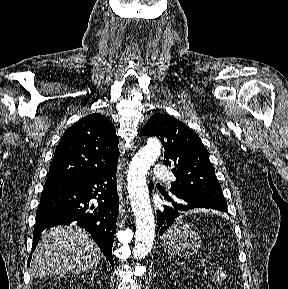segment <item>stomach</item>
<instances>
[{
	"label": "stomach",
	"instance_id": "0dacf381",
	"mask_svg": "<svg viewBox=\"0 0 288 289\" xmlns=\"http://www.w3.org/2000/svg\"><path fill=\"white\" fill-rule=\"evenodd\" d=\"M163 247L170 255L189 256L200 249L201 237L196 231L189 229L164 240Z\"/></svg>",
	"mask_w": 288,
	"mask_h": 289
}]
</instances>
